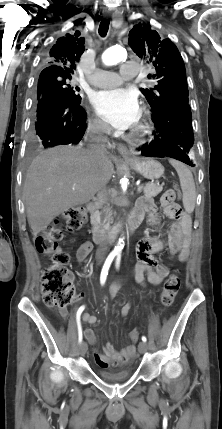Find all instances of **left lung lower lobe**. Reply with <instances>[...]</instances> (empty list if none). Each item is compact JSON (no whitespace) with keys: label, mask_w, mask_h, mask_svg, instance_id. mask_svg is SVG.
<instances>
[{"label":"left lung lower lobe","mask_w":222,"mask_h":429,"mask_svg":"<svg viewBox=\"0 0 222 429\" xmlns=\"http://www.w3.org/2000/svg\"><path fill=\"white\" fill-rule=\"evenodd\" d=\"M155 139L139 150L147 157H170L194 167L190 156L194 143L189 103H173L159 115H153Z\"/></svg>","instance_id":"left-lung-lower-lobe-1"}]
</instances>
